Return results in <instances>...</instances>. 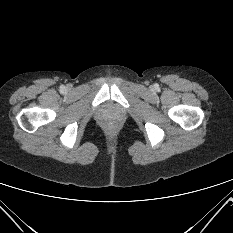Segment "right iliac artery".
Wrapping results in <instances>:
<instances>
[{
    "instance_id": "1",
    "label": "right iliac artery",
    "mask_w": 233,
    "mask_h": 233,
    "mask_svg": "<svg viewBox=\"0 0 233 233\" xmlns=\"http://www.w3.org/2000/svg\"><path fill=\"white\" fill-rule=\"evenodd\" d=\"M64 88H65L64 86H61V87H60L61 91H63V90H64Z\"/></svg>"
}]
</instances>
